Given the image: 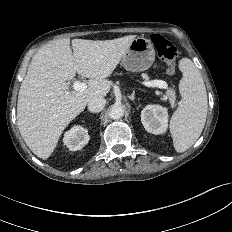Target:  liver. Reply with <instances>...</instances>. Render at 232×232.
I'll list each match as a JSON object with an SVG mask.
<instances>
[{
	"instance_id": "obj_1",
	"label": "liver",
	"mask_w": 232,
	"mask_h": 232,
	"mask_svg": "<svg viewBox=\"0 0 232 232\" xmlns=\"http://www.w3.org/2000/svg\"><path fill=\"white\" fill-rule=\"evenodd\" d=\"M136 35L113 40H54L33 56L20 86L17 125L29 149L46 160L63 130L90 100L105 97L112 82L107 80ZM89 78L85 91H69L67 80L75 74Z\"/></svg>"
}]
</instances>
